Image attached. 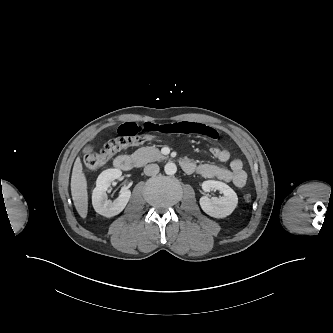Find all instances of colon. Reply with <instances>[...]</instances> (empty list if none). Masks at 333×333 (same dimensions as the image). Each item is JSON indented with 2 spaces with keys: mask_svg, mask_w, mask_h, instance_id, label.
Returning <instances> with one entry per match:
<instances>
[{
  "mask_svg": "<svg viewBox=\"0 0 333 333\" xmlns=\"http://www.w3.org/2000/svg\"><path fill=\"white\" fill-rule=\"evenodd\" d=\"M155 137L150 134H140L132 137L120 136L108 141L104 147L96 153H91L85 157V165L91 170H95L106 164L116 153L130 146L141 145L153 140ZM246 202L251 201V195L245 194Z\"/></svg>",
  "mask_w": 333,
  "mask_h": 333,
  "instance_id": "1",
  "label": "colon"
}]
</instances>
